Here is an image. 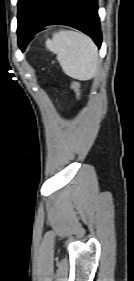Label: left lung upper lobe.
Segmentation results:
<instances>
[{
    "label": "left lung upper lobe",
    "instance_id": "5c2ea615",
    "mask_svg": "<svg viewBox=\"0 0 134 281\" xmlns=\"http://www.w3.org/2000/svg\"><path fill=\"white\" fill-rule=\"evenodd\" d=\"M40 1L41 0H18V32L25 28Z\"/></svg>",
    "mask_w": 134,
    "mask_h": 281
}]
</instances>
